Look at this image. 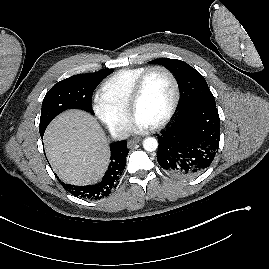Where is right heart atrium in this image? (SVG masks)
Here are the masks:
<instances>
[{"label":"right heart atrium","instance_id":"d8ad5b80","mask_svg":"<svg viewBox=\"0 0 269 269\" xmlns=\"http://www.w3.org/2000/svg\"><path fill=\"white\" fill-rule=\"evenodd\" d=\"M93 110L99 120L114 134L124 135L129 129L130 118L128 111L120 109L101 94L95 95L93 99Z\"/></svg>","mask_w":269,"mask_h":269}]
</instances>
